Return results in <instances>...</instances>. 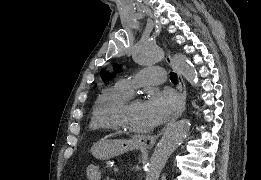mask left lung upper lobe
Listing matches in <instances>:
<instances>
[{"label": "left lung upper lobe", "instance_id": "left-lung-upper-lobe-1", "mask_svg": "<svg viewBox=\"0 0 261 180\" xmlns=\"http://www.w3.org/2000/svg\"><path fill=\"white\" fill-rule=\"evenodd\" d=\"M101 77L103 80L108 81L111 79V75L108 72H105V69L101 71Z\"/></svg>", "mask_w": 261, "mask_h": 180}]
</instances>
